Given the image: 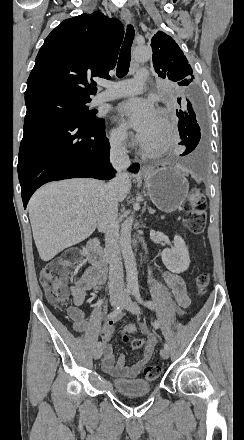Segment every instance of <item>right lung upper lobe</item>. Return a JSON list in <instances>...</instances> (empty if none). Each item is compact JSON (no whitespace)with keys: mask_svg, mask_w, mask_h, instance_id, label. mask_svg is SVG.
<instances>
[{"mask_svg":"<svg viewBox=\"0 0 244 440\" xmlns=\"http://www.w3.org/2000/svg\"><path fill=\"white\" fill-rule=\"evenodd\" d=\"M123 36L122 23L101 12L64 20L38 52L25 99L45 95L90 98L97 91L92 78H110Z\"/></svg>","mask_w":244,"mask_h":440,"instance_id":"obj_1","label":"right lung upper lobe"}]
</instances>
